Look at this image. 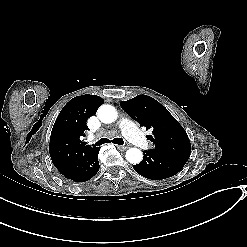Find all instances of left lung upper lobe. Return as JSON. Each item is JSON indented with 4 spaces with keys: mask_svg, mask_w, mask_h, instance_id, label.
I'll return each mask as SVG.
<instances>
[{
    "mask_svg": "<svg viewBox=\"0 0 247 247\" xmlns=\"http://www.w3.org/2000/svg\"><path fill=\"white\" fill-rule=\"evenodd\" d=\"M122 109L134 120L152 131L147 138L155 144L152 149L183 164L191 152L189 138L180 123L157 100L138 95L122 101Z\"/></svg>",
    "mask_w": 247,
    "mask_h": 247,
    "instance_id": "left-lung-upper-lobe-1",
    "label": "left lung upper lobe"
}]
</instances>
